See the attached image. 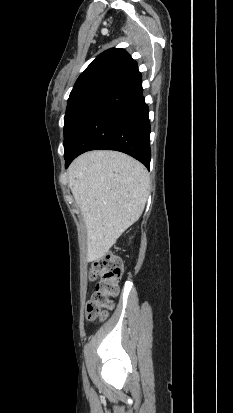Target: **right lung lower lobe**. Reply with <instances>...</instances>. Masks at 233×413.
Masks as SVG:
<instances>
[{
  "mask_svg": "<svg viewBox=\"0 0 233 413\" xmlns=\"http://www.w3.org/2000/svg\"><path fill=\"white\" fill-rule=\"evenodd\" d=\"M142 92L137 66L116 79L80 130L65 156V167L78 155L100 149L127 153L149 168L150 123Z\"/></svg>",
  "mask_w": 233,
  "mask_h": 413,
  "instance_id": "obj_1",
  "label": "right lung lower lobe"
}]
</instances>
